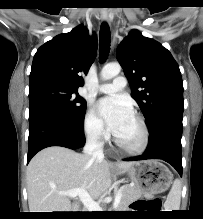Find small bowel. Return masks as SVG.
<instances>
[{
  "label": "small bowel",
  "instance_id": "obj_1",
  "mask_svg": "<svg viewBox=\"0 0 203 219\" xmlns=\"http://www.w3.org/2000/svg\"><path fill=\"white\" fill-rule=\"evenodd\" d=\"M138 207V205H135L134 208Z\"/></svg>",
  "mask_w": 203,
  "mask_h": 219
}]
</instances>
